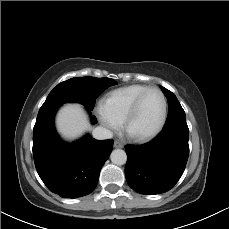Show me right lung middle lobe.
<instances>
[{
	"mask_svg": "<svg viewBox=\"0 0 229 229\" xmlns=\"http://www.w3.org/2000/svg\"><path fill=\"white\" fill-rule=\"evenodd\" d=\"M116 84L117 82L111 78H71L58 84L40 109L57 107L67 102H79L88 110H93L97 97L105 89Z\"/></svg>",
	"mask_w": 229,
	"mask_h": 229,
	"instance_id": "obj_1",
	"label": "right lung middle lobe"
}]
</instances>
